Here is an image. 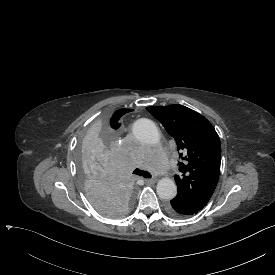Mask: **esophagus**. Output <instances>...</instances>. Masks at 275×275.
I'll use <instances>...</instances> for the list:
<instances>
[{
	"instance_id": "obj_1",
	"label": "esophagus",
	"mask_w": 275,
	"mask_h": 275,
	"mask_svg": "<svg viewBox=\"0 0 275 275\" xmlns=\"http://www.w3.org/2000/svg\"><path fill=\"white\" fill-rule=\"evenodd\" d=\"M145 182H146L147 184H151V183H154L155 180H154V179H145Z\"/></svg>"
}]
</instances>
